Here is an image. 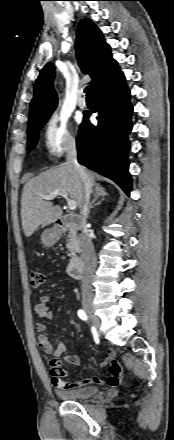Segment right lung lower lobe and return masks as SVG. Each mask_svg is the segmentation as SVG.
Here are the masks:
<instances>
[{"label": "right lung lower lobe", "mask_w": 174, "mask_h": 440, "mask_svg": "<svg viewBox=\"0 0 174 440\" xmlns=\"http://www.w3.org/2000/svg\"><path fill=\"white\" fill-rule=\"evenodd\" d=\"M98 125L84 116L77 136L78 162L116 182L129 195L128 135L132 130L133 107L123 73L114 64L94 90Z\"/></svg>", "instance_id": "right-lung-lower-lobe-1"}]
</instances>
